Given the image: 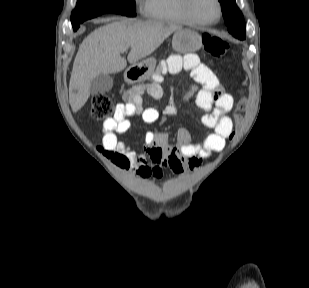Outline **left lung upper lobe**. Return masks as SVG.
<instances>
[{
    "instance_id": "obj_1",
    "label": "left lung upper lobe",
    "mask_w": 309,
    "mask_h": 288,
    "mask_svg": "<svg viewBox=\"0 0 309 288\" xmlns=\"http://www.w3.org/2000/svg\"><path fill=\"white\" fill-rule=\"evenodd\" d=\"M223 16L232 35L245 36L246 26L242 13L236 6L235 0H219Z\"/></svg>"
}]
</instances>
